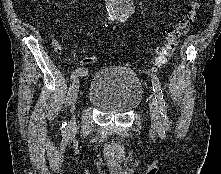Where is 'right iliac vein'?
I'll use <instances>...</instances> for the list:
<instances>
[{
	"label": "right iliac vein",
	"instance_id": "63e3f726",
	"mask_svg": "<svg viewBox=\"0 0 221 174\" xmlns=\"http://www.w3.org/2000/svg\"><path fill=\"white\" fill-rule=\"evenodd\" d=\"M79 87H80V80H79V77L76 76L71 86L72 112L75 109V105H76V101H77L78 93H79ZM74 126H75V119H74V116H72L71 121H70V127L73 128Z\"/></svg>",
	"mask_w": 221,
	"mask_h": 174
}]
</instances>
